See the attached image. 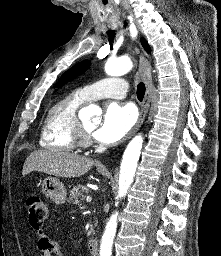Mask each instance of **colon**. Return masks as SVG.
Here are the masks:
<instances>
[{
    "mask_svg": "<svg viewBox=\"0 0 221 256\" xmlns=\"http://www.w3.org/2000/svg\"><path fill=\"white\" fill-rule=\"evenodd\" d=\"M27 214L30 225L35 230H42L49 216L46 203L36 194H29L26 199Z\"/></svg>",
    "mask_w": 221,
    "mask_h": 256,
    "instance_id": "obj_1",
    "label": "colon"
}]
</instances>
